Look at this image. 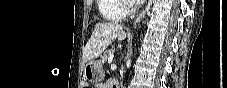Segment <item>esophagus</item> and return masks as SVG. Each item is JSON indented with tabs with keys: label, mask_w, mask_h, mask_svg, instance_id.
Here are the masks:
<instances>
[{
	"label": "esophagus",
	"mask_w": 227,
	"mask_h": 88,
	"mask_svg": "<svg viewBox=\"0 0 227 88\" xmlns=\"http://www.w3.org/2000/svg\"><path fill=\"white\" fill-rule=\"evenodd\" d=\"M152 0H149L145 6V9L138 15V17L134 21V25L138 24L146 15V12L149 10L151 6Z\"/></svg>",
	"instance_id": "1"
}]
</instances>
